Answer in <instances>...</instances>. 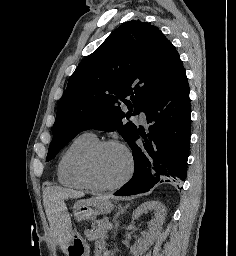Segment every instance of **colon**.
<instances>
[{
  "label": "colon",
  "instance_id": "obj_1",
  "mask_svg": "<svg viewBox=\"0 0 236 256\" xmlns=\"http://www.w3.org/2000/svg\"><path fill=\"white\" fill-rule=\"evenodd\" d=\"M108 255H109L108 252L103 253V256H108Z\"/></svg>",
  "mask_w": 236,
  "mask_h": 256
}]
</instances>
